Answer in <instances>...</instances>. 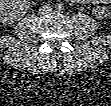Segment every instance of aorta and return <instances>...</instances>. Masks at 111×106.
<instances>
[{
	"mask_svg": "<svg viewBox=\"0 0 111 106\" xmlns=\"http://www.w3.org/2000/svg\"><path fill=\"white\" fill-rule=\"evenodd\" d=\"M56 9L61 10L62 7L60 5H57Z\"/></svg>",
	"mask_w": 111,
	"mask_h": 106,
	"instance_id": "obj_1",
	"label": "aorta"
}]
</instances>
